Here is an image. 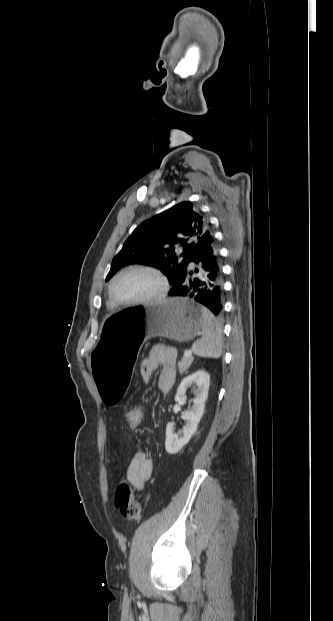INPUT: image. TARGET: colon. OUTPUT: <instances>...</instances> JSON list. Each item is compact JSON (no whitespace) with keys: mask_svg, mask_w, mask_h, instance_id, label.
<instances>
[{"mask_svg":"<svg viewBox=\"0 0 333 621\" xmlns=\"http://www.w3.org/2000/svg\"><path fill=\"white\" fill-rule=\"evenodd\" d=\"M125 421L130 428L140 425L143 412L140 408L134 407L125 412ZM115 506L120 514L128 520H138L140 518V505L135 500L133 491L128 483L122 482L115 491Z\"/></svg>","mask_w":333,"mask_h":621,"instance_id":"5ec220e1","label":"colon"}]
</instances>
